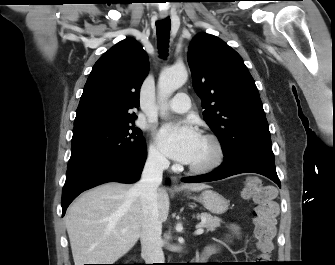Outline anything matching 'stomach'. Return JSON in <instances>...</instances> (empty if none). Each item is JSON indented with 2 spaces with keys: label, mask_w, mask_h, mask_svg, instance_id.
I'll list each match as a JSON object with an SVG mask.
<instances>
[{
  "label": "stomach",
  "mask_w": 335,
  "mask_h": 265,
  "mask_svg": "<svg viewBox=\"0 0 335 265\" xmlns=\"http://www.w3.org/2000/svg\"><path fill=\"white\" fill-rule=\"evenodd\" d=\"M193 198L202 203L213 214H223L229 207L228 200L213 190H205L199 196Z\"/></svg>",
  "instance_id": "stomach-1"
}]
</instances>
